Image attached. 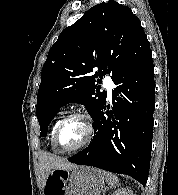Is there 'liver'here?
Here are the masks:
<instances>
[{"label": "liver", "instance_id": "6515ba94", "mask_svg": "<svg viewBox=\"0 0 178 195\" xmlns=\"http://www.w3.org/2000/svg\"><path fill=\"white\" fill-rule=\"evenodd\" d=\"M74 164L68 162L66 159L51 155L42 154L40 157V169L42 173V187L45 186V182L53 169H72Z\"/></svg>", "mask_w": 178, "mask_h": 195}]
</instances>
